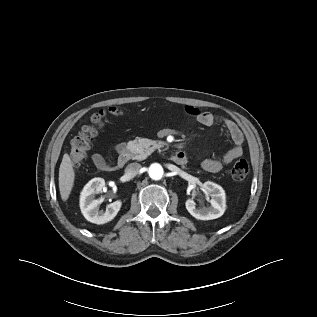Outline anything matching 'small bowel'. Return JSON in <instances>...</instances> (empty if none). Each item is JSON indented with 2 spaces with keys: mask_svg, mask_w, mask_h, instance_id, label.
<instances>
[{
  "mask_svg": "<svg viewBox=\"0 0 317 317\" xmlns=\"http://www.w3.org/2000/svg\"><path fill=\"white\" fill-rule=\"evenodd\" d=\"M185 111L187 114L195 117L197 122L204 126H212L217 121H220L225 129L227 130L234 146L229 149L220 159L216 158H208L204 159L201 162V167L204 171L209 173H217L222 170V168L230 163H232L237 158L241 157L243 154V143H244V135L239 126L232 120L229 119H220L213 113L209 111H202L198 108L187 106L185 107ZM123 147V144H119L116 146L115 151H118ZM92 162L95 167L101 171H106V168L110 160L104 158L100 154H94L92 156Z\"/></svg>",
  "mask_w": 317,
  "mask_h": 317,
  "instance_id": "obj_1",
  "label": "small bowel"
}]
</instances>
